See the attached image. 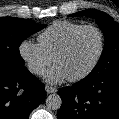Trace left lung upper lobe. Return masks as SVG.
Returning a JSON list of instances; mask_svg holds the SVG:
<instances>
[{
  "instance_id": "left-lung-upper-lobe-1",
  "label": "left lung upper lobe",
  "mask_w": 119,
  "mask_h": 119,
  "mask_svg": "<svg viewBox=\"0 0 119 119\" xmlns=\"http://www.w3.org/2000/svg\"><path fill=\"white\" fill-rule=\"evenodd\" d=\"M70 16H89L96 20L103 31L105 45L91 75H107L119 71V24L108 14L98 10H84Z\"/></svg>"
}]
</instances>
